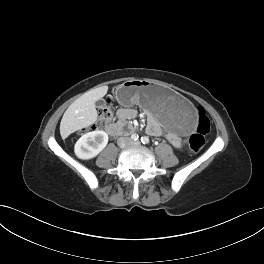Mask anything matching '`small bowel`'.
Here are the masks:
<instances>
[{
	"label": "small bowel",
	"instance_id": "obj_1",
	"mask_svg": "<svg viewBox=\"0 0 264 264\" xmlns=\"http://www.w3.org/2000/svg\"><path fill=\"white\" fill-rule=\"evenodd\" d=\"M120 120L131 119L136 116V111L131 108H122L117 112ZM147 132L153 136H161L164 134L161 126L155 121L151 120L147 126ZM167 138L174 146L181 145V138L175 133H167Z\"/></svg>",
	"mask_w": 264,
	"mask_h": 264
}]
</instances>
